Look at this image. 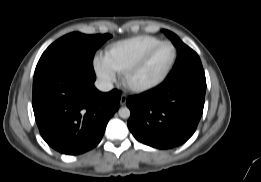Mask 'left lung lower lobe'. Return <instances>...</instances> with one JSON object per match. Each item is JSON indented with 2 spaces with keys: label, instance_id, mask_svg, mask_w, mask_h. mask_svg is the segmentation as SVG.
<instances>
[{
  "label": "left lung lower lobe",
  "instance_id": "1",
  "mask_svg": "<svg viewBox=\"0 0 261 182\" xmlns=\"http://www.w3.org/2000/svg\"><path fill=\"white\" fill-rule=\"evenodd\" d=\"M206 92L204 73L131 96L128 127L134 137L151 147L169 149L185 143L202 116Z\"/></svg>",
  "mask_w": 261,
  "mask_h": 182
}]
</instances>
